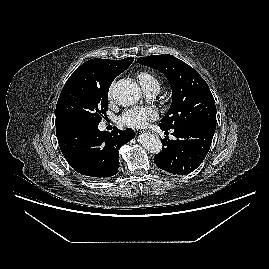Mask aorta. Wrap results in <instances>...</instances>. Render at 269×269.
<instances>
[{
  "label": "aorta",
  "mask_w": 269,
  "mask_h": 269,
  "mask_svg": "<svg viewBox=\"0 0 269 269\" xmlns=\"http://www.w3.org/2000/svg\"><path fill=\"white\" fill-rule=\"evenodd\" d=\"M141 96V89L132 80L122 79L114 84L112 88V97L116 102L124 107L134 105ZM139 142L152 154H159L162 151V142L154 134L142 133L139 136Z\"/></svg>",
  "instance_id": "1"
}]
</instances>
